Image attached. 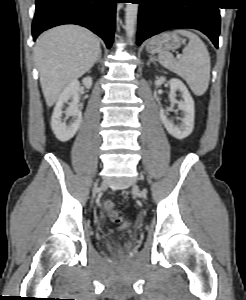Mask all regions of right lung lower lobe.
<instances>
[{"instance_id":"right-lung-lower-lobe-1","label":"right lung lower lobe","mask_w":246,"mask_h":300,"mask_svg":"<svg viewBox=\"0 0 246 300\" xmlns=\"http://www.w3.org/2000/svg\"><path fill=\"white\" fill-rule=\"evenodd\" d=\"M118 0H36L33 40L43 31L62 24L84 26L99 35L110 48L113 43Z\"/></svg>"}]
</instances>
